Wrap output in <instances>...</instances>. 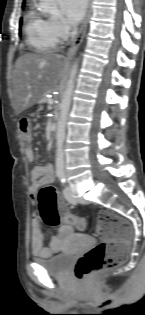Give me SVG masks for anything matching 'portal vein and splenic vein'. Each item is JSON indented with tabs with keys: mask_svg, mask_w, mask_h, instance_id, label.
Returning a JSON list of instances; mask_svg holds the SVG:
<instances>
[{
	"mask_svg": "<svg viewBox=\"0 0 145 315\" xmlns=\"http://www.w3.org/2000/svg\"><path fill=\"white\" fill-rule=\"evenodd\" d=\"M50 104H52L53 103V100L52 99H49V101H48Z\"/></svg>",
	"mask_w": 145,
	"mask_h": 315,
	"instance_id": "18ae733b",
	"label": "portal vein and splenic vein"
}]
</instances>
